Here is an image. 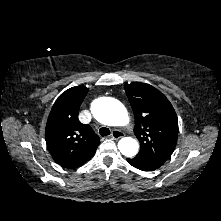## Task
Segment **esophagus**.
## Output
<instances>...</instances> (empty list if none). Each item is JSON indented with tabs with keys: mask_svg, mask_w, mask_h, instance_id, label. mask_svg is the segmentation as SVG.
<instances>
[{
	"mask_svg": "<svg viewBox=\"0 0 221 221\" xmlns=\"http://www.w3.org/2000/svg\"><path fill=\"white\" fill-rule=\"evenodd\" d=\"M124 137V133L119 130H113L111 133V138L114 140H118L120 138Z\"/></svg>",
	"mask_w": 221,
	"mask_h": 221,
	"instance_id": "obj_1",
	"label": "esophagus"
}]
</instances>
